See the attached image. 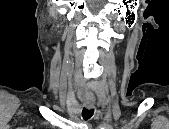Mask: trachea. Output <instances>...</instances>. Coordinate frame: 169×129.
I'll list each match as a JSON object with an SVG mask.
<instances>
[{"instance_id":"obj_1","label":"trachea","mask_w":169,"mask_h":129,"mask_svg":"<svg viewBox=\"0 0 169 129\" xmlns=\"http://www.w3.org/2000/svg\"><path fill=\"white\" fill-rule=\"evenodd\" d=\"M94 114V109L92 108H83L82 110V117L84 120H89Z\"/></svg>"}]
</instances>
